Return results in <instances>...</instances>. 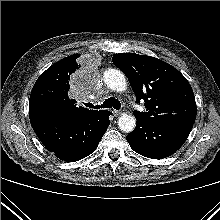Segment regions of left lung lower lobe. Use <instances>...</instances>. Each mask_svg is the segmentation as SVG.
Segmentation results:
<instances>
[{
    "label": "left lung lower lobe",
    "instance_id": "obj_1",
    "mask_svg": "<svg viewBox=\"0 0 220 220\" xmlns=\"http://www.w3.org/2000/svg\"><path fill=\"white\" fill-rule=\"evenodd\" d=\"M135 129L126 136L131 148L151 159H163L174 154L186 141L193 123L170 120L152 123L136 118Z\"/></svg>",
    "mask_w": 220,
    "mask_h": 220
}]
</instances>
